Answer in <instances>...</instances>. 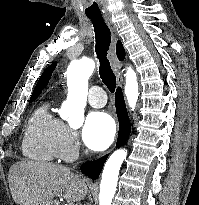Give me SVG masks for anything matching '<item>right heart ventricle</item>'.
<instances>
[{
  "mask_svg": "<svg viewBox=\"0 0 199 205\" xmlns=\"http://www.w3.org/2000/svg\"><path fill=\"white\" fill-rule=\"evenodd\" d=\"M62 127L63 123L49 111L47 104L38 107L24 132V156L39 162H51L58 156V139Z\"/></svg>",
  "mask_w": 199,
  "mask_h": 205,
  "instance_id": "obj_1",
  "label": "right heart ventricle"
}]
</instances>
